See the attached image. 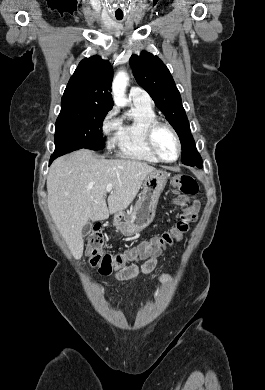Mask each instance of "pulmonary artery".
<instances>
[{
	"label": "pulmonary artery",
	"mask_w": 265,
	"mask_h": 390,
	"mask_svg": "<svg viewBox=\"0 0 265 390\" xmlns=\"http://www.w3.org/2000/svg\"><path fill=\"white\" fill-rule=\"evenodd\" d=\"M129 96L133 103L151 104V99L148 94L138 87H132Z\"/></svg>",
	"instance_id": "1"
}]
</instances>
